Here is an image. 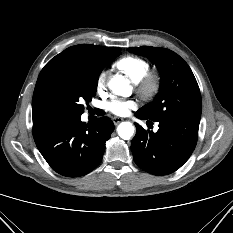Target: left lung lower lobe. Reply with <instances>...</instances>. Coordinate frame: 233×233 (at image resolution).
I'll return each instance as SVG.
<instances>
[{
  "instance_id": "obj_1",
  "label": "left lung lower lobe",
  "mask_w": 233,
  "mask_h": 233,
  "mask_svg": "<svg viewBox=\"0 0 233 233\" xmlns=\"http://www.w3.org/2000/svg\"><path fill=\"white\" fill-rule=\"evenodd\" d=\"M136 117L145 119L137 112ZM159 122V130L146 131L135 123L136 135L131 142L135 163L154 175H168L178 170L195 149L199 118L171 117Z\"/></svg>"
}]
</instances>
